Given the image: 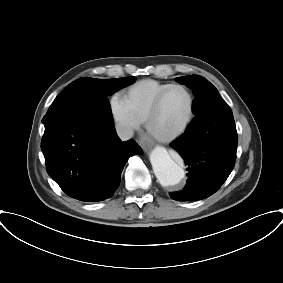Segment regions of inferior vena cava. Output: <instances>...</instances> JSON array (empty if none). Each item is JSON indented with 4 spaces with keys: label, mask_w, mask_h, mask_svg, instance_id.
<instances>
[{
    "label": "inferior vena cava",
    "mask_w": 283,
    "mask_h": 283,
    "mask_svg": "<svg viewBox=\"0 0 283 283\" xmlns=\"http://www.w3.org/2000/svg\"><path fill=\"white\" fill-rule=\"evenodd\" d=\"M116 132L119 138L123 141L129 140L134 134L133 129L123 123L116 124Z\"/></svg>",
    "instance_id": "obj_1"
}]
</instances>
